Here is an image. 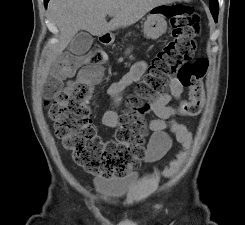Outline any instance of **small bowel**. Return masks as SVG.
I'll list each match as a JSON object with an SVG mask.
<instances>
[{"mask_svg":"<svg viewBox=\"0 0 245 225\" xmlns=\"http://www.w3.org/2000/svg\"><path fill=\"white\" fill-rule=\"evenodd\" d=\"M147 68L146 61H139L135 63L129 72L125 73L118 81L113 82L107 89L110 96L109 108L102 116V123L110 128L117 129L120 126V118L116 111L122 99V92L131 84L139 81ZM102 72L99 66H91L85 70L84 73L91 75L90 80L96 79V73ZM184 90V86L178 80L173 78L169 84V92L160 95L151 105V111L154 118L148 122V128L151 131V136L148 141L145 153L142 157L137 158L138 166L141 163H154L161 159L168 151L172 144V138L169 133H172L177 142L184 146L185 141L183 135L191 134L183 127L178 125L175 121L178 111L177 108L170 104L172 100L180 99Z\"/></svg>","mask_w":245,"mask_h":225,"instance_id":"small-bowel-1","label":"small bowel"}]
</instances>
